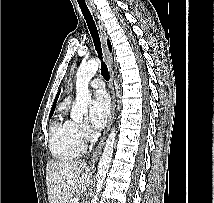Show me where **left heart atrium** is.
<instances>
[{
  "label": "left heart atrium",
  "instance_id": "obj_1",
  "mask_svg": "<svg viewBox=\"0 0 214 203\" xmlns=\"http://www.w3.org/2000/svg\"><path fill=\"white\" fill-rule=\"evenodd\" d=\"M110 113V101L105 92H98L91 104L89 121L94 128H102Z\"/></svg>",
  "mask_w": 214,
  "mask_h": 203
}]
</instances>
